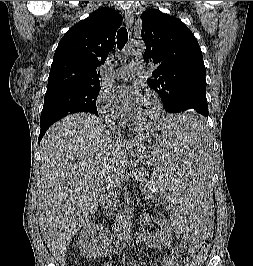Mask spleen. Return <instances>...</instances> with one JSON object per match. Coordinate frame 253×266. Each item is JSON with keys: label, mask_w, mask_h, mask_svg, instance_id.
Instances as JSON below:
<instances>
[{"label": "spleen", "mask_w": 253, "mask_h": 266, "mask_svg": "<svg viewBox=\"0 0 253 266\" xmlns=\"http://www.w3.org/2000/svg\"><path fill=\"white\" fill-rule=\"evenodd\" d=\"M160 139L146 180L151 199H158L162 210H173L170 229L178 248H201L215 234L209 135L197 115H165Z\"/></svg>", "instance_id": "3e777b00"}]
</instances>
